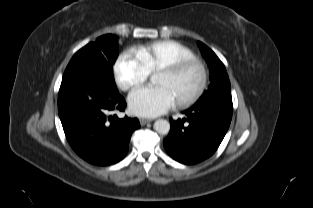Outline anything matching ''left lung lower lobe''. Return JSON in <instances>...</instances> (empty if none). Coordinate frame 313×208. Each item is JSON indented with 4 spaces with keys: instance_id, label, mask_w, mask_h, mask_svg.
Segmentation results:
<instances>
[{
    "instance_id": "obj_1",
    "label": "left lung lower lobe",
    "mask_w": 313,
    "mask_h": 208,
    "mask_svg": "<svg viewBox=\"0 0 313 208\" xmlns=\"http://www.w3.org/2000/svg\"><path fill=\"white\" fill-rule=\"evenodd\" d=\"M184 113L186 119H170V132L163 144L173 159L196 164L209 158L222 142L231 123L232 100H205Z\"/></svg>"
}]
</instances>
